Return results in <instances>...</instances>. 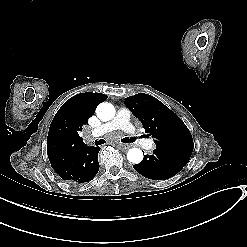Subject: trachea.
<instances>
[{
	"instance_id": "3493384b",
	"label": "trachea",
	"mask_w": 247,
	"mask_h": 247,
	"mask_svg": "<svg viewBox=\"0 0 247 247\" xmlns=\"http://www.w3.org/2000/svg\"><path fill=\"white\" fill-rule=\"evenodd\" d=\"M138 138H143V136H140V137H125V138L121 139V142L122 143H132V142H135ZM104 143H106V141L103 140V139L95 140V142H94V144L96 146L102 145Z\"/></svg>"
}]
</instances>
